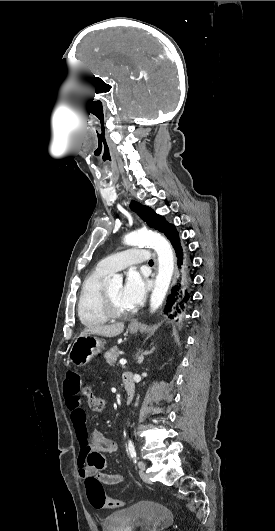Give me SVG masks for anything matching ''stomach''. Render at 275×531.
Here are the masks:
<instances>
[{
	"mask_svg": "<svg viewBox=\"0 0 275 531\" xmlns=\"http://www.w3.org/2000/svg\"><path fill=\"white\" fill-rule=\"evenodd\" d=\"M141 329H144L143 325H138L136 329H132L129 325L130 333H138ZM104 345V341L99 339V337H95V335H83V337H77L68 355L70 363L76 365V367H84V365H87L95 355L104 351Z\"/></svg>",
	"mask_w": 275,
	"mask_h": 531,
	"instance_id": "stomach-1",
	"label": "stomach"
}]
</instances>
